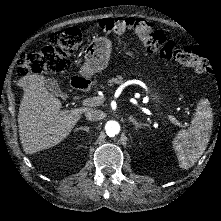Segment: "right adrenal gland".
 <instances>
[{
    "label": "right adrenal gland",
    "mask_w": 221,
    "mask_h": 221,
    "mask_svg": "<svg viewBox=\"0 0 221 221\" xmlns=\"http://www.w3.org/2000/svg\"><path fill=\"white\" fill-rule=\"evenodd\" d=\"M80 128H81V129H86L87 131H89V129H90V127L87 126V125H83V126H81Z\"/></svg>",
    "instance_id": "2a0ac1e0"
}]
</instances>
